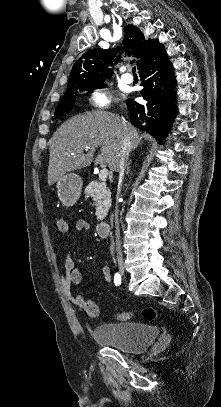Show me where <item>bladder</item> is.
I'll return each mask as SVG.
<instances>
[{"instance_id": "1", "label": "bladder", "mask_w": 221, "mask_h": 407, "mask_svg": "<svg viewBox=\"0 0 221 407\" xmlns=\"http://www.w3.org/2000/svg\"><path fill=\"white\" fill-rule=\"evenodd\" d=\"M158 334V327L144 323H110L93 330L96 342L126 353L145 351Z\"/></svg>"}]
</instances>
